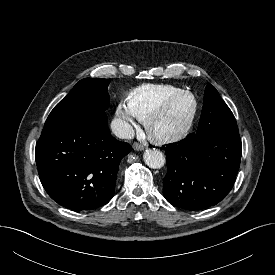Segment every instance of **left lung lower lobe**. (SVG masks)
<instances>
[{"label": "left lung lower lobe", "mask_w": 275, "mask_h": 275, "mask_svg": "<svg viewBox=\"0 0 275 275\" xmlns=\"http://www.w3.org/2000/svg\"><path fill=\"white\" fill-rule=\"evenodd\" d=\"M163 149L167 156L163 194L172 205L202 210L231 191L241 160L239 135L192 134Z\"/></svg>", "instance_id": "left-lung-lower-lobe-1"}]
</instances>
